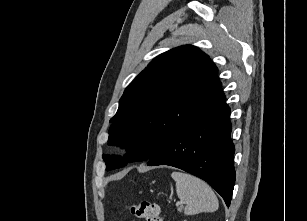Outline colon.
Returning a JSON list of instances; mask_svg holds the SVG:
<instances>
[{"label": "colon", "mask_w": 307, "mask_h": 221, "mask_svg": "<svg viewBox=\"0 0 307 221\" xmlns=\"http://www.w3.org/2000/svg\"><path fill=\"white\" fill-rule=\"evenodd\" d=\"M127 208L131 214L145 221H164L158 204L143 200L130 204Z\"/></svg>", "instance_id": "obj_1"}]
</instances>
